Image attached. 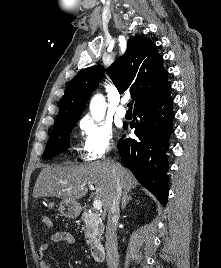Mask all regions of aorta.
<instances>
[{
  "mask_svg": "<svg viewBox=\"0 0 221 268\" xmlns=\"http://www.w3.org/2000/svg\"><path fill=\"white\" fill-rule=\"evenodd\" d=\"M105 109H106V103L103 95L96 94L90 102L91 116L95 120L100 121L104 118Z\"/></svg>",
  "mask_w": 221,
  "mask_h": 268,
  "instance_id": "aorta-1",
  "label": "aorta"
}]
</instances>
